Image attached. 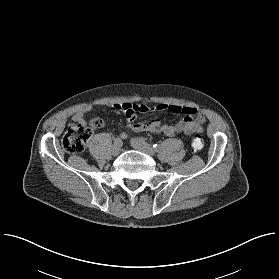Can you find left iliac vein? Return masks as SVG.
<instances>
[{
  "label": "left iliac vein",
  "mask_w": 279,
  "mask_h": 279,
  "mask_svg": "<svg viewBox=\"0 0 279 279\" xmlns=\"http://www.w3.org/2000/svg\"><path fill=\"white\" fill-rule=\"evenodd\" d=\"M131 145L133 148H135L136 150L145 152L151 156L155 155V150L152 148L151 145H149L148 143H146L143 139L141 138H133L131 140Z\"/></svg>",
  "instance_id": "obj_1"
}]
</instances>
